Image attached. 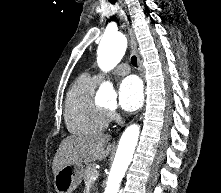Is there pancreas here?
<instances>
[{"instance_id":"pancreas-1","label":"pancreas","mask_w":221,"mask_h":193,"mask_svg":"<svg viewBox=\"0 0 221 193\" xmlns=\"http://www.w3.org/2000/svg\"><path fill=\"white\" fill-rule=\"evenodd\" d=\"M96 171L97 170H96L94 164H89L86 166V168L84 169V175H83V179L86 184L91 183L90 178H91L92 174L95 173Z\"/></svg>"}]
</instances>
